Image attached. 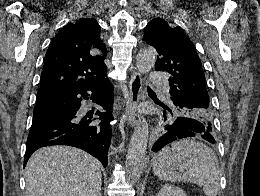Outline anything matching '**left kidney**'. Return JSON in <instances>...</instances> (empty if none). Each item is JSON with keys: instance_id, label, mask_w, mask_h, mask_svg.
I'll list each match as a JSON object with an SVG mask.
<instances>
[{"instance_id": "5707ae66", "label": "left kidney", "mask_w": 260, "mask_h": 196, "mask_svg": "<svg viewBox=\"0 0 260 196\" xmlns=\"http://www.w3.org/2000/svg\"><path fill=\"white\" fill-rule=\"evenodd\" d=\"M158 196H186L185 192L178 188V186H172V184H164Z\"/></svg>"}]
</instances>
